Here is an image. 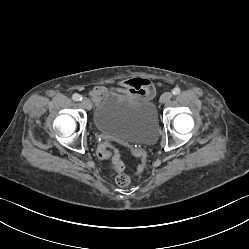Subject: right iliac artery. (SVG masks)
Segmentation results:
<instances>
[{"label": "right iliac artery", "instance_id": "82829eb1", "mask_svg": "<svg viewBox=\"0 0 249 249\" xmlns=\"http://www.w3.org/2000/svg\"><path fill=\"white\" fill-rule=\"evenodd\" d=\"M72 99L75 101H81L82 96L76 93V94H73Z\"/></svg>", "mask_w": 249, "mask_h": 249}]
</instances>
